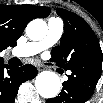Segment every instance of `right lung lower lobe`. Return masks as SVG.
I'll use <instances>...</instances> for the list:
<instances>
[{
	"mask_svg": "<svg viewBox=\"0 0 103 103\" xmlns=\"http://www.w3.org/2000/svg\"><path fill=\"white\" fill-rule=\"evenodd\" d=\"M36 74L37 70L32 65L11 67L0 63V103H13L19 86Z\"/></svg>",
	"mask_w": 103,
	"mask_h": 103,
	"instance_id": "1",
	"label": "right lung lower lobe"
}]
</instances>
